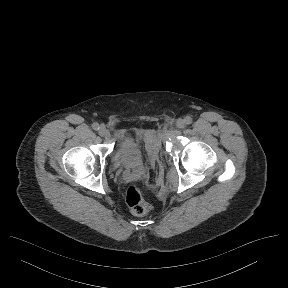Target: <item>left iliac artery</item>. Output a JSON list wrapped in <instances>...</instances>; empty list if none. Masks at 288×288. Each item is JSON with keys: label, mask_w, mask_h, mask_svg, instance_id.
I'll use <instances>...</instances> for the list:
<instances>
[{"label": "left iliac artery", "mask_w": 288, "mask_h": 288, "mask_svg": "<svg viewBox=\"0 0 288 288\" xmlns=\"http://www.w3.org/2000/svg\"><path fill=\"white\" fill-rule=\"evenodd\" d=\"M184 121H185L186 124L189 125V124L192 123V118H191L190 116H186L185 119H184Z\"/></svg>", "instance_id": "1"}]
</instances>
